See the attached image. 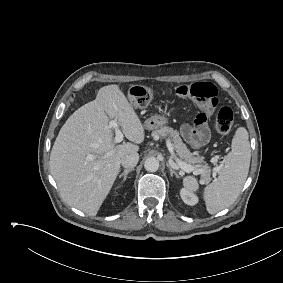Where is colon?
<instances>
[{
  "label": "colon",
  "instance_id": "5ec220e1",
  "mask_svg": "<svg viewBox=\"0 0 283 283\" xmlns=\"http://www.w3.org/2000/svg\"><path fill=\"white\" fill-rule=\"evenodd\" d=\"M175 93L182 97L194 99L208 112L214 110L219 102L216 87L206 81L178 86ZM128 98L134 108H145L153 98V89L145 85L134 86L130 89ZM233 120V112L229 107L220 108L215 119L216 131L221 135L228 134L232 129Z\"/></svg>",
  "mask_w": 283,
  "mask_h": 283
}]
</instances>
